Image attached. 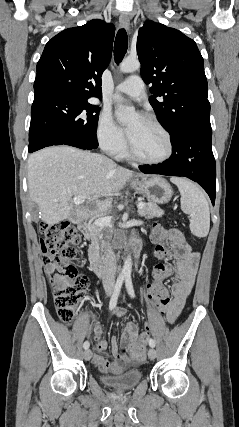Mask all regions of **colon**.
Here are the masks:
<instances>
[{"label":"colon","mask_w":239,"mask_h":427,"mask_svg":"<svg viewBox=\"0 0 239 427\" xmlns=\"http://www.w3.org/2000/svg\"><path fill=\"white\" fill-rule=\"evenodd\" d=\"M149 232L156 262L152 263V281L146 284L144 300L149 308L162 312L170 297V290L165 282L171 279V259L168 258L170 235L163 222H153ZM41 258L54 295L58 317L63 322H70L75 315L79 301L84 297L89 281L78 271L75 261L80 252V235L68 222L41 223ZM148 333L144 332L139 341L124 350V355L137 362L145 360Z\"/></svg>","instance_id":"1"}]
</instances>
